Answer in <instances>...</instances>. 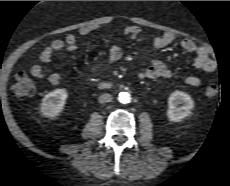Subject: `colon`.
Returning <instances> with one entry per match:
<instances>
[{
  "instance_id": "colon-1",
  "label": "colon",
  "mask_w": 230,
  "mask_h": 186,
  "mask_svg": "<svg viewBox=\"0 0 230 186\" xmlns=\"http://www.w3.org/2000/svg\"><path fill=\"white\" fill-rule=\"evenodd\" d=\"M12 89L18 98L29 97L35 93L36 84L28 74L19 72L15 76ZM205 91L208 96H215L219 91V86L216 82H209Z\"/></svg>"
}]
</instances>
